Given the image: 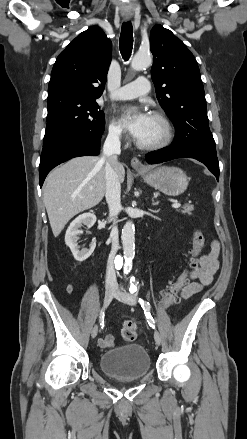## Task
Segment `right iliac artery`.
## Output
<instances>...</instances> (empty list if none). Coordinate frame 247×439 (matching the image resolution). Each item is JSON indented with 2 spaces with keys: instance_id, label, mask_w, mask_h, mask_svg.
I'll return each instance as SVG.
<instances>
[{
  "instance_id": "right-iliac-artery-1",
  "label": "right iliac artery",
  "mask_w": 247,
  "mask_h": 439,
  "mask_svg": "<svg viewBox=\"0 0 247 439\" xmlns=\"http://www.w3.org/2000/svg\"><path fill=\"white\" fill-rule=\"evenodd\" d=\"M103 318H104V312H103V310H101V313H100V320L103 319Z\"/></svg>"
}]
</instances>
